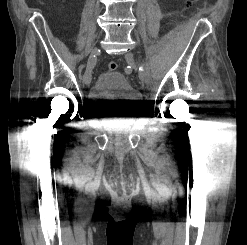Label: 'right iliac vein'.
<instances>
[{
	"label": "right iliac vein",
	"instance_id": "right-iliac-vein-1",
	"mask_svg": "<svg viewBox=\"0 0 247 245\" xmlns=\"http://www.w3.org/2000/svg\"><path fill=\"white\" fill-rule=\"evenodd\" d=\"M98 53V49L97 47H94L91 51V54L88 58V61H87V68H86V71L83 75V81L85 84H90L91 82V79H92V75H91V72H92V69L97 61V58L94 57L96 54Z\"/></svg>",
	"mask_w": 247,
	"mask_h": 245
}]
</instances>
